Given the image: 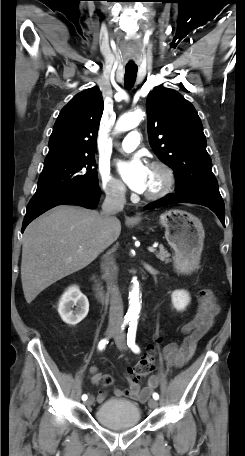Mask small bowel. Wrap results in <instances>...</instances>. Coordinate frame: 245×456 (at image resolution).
Listing matches in <instances>:
<instances>
[{
  "label": "small bowel",
  "instance_id": "1",
  "mask_svg": "<svg viewBox=\"0 0 245 456\" xmlns=\"http://www.w3.org/2000/svg\"><path fill=\"white\" fill-rule=\"evenodd\" d=\"M219 312L220 306L212 291L201 290L198 294L195 318L181 328L184 335L183 341L180 344L169 343L163 349L166 366L181 367L192 358L199 340L212 328ZM91 373L92 381L96 385L108 387L114 383L112 376L99 373L95 367L91 368ZM127 381L129 384L127 389L114 388L112 393L117 397H129L138 402H145L158 385L157 376H151L144 387L129 375H127ZM107 396V391L100 392L96 400L103 402Z\"/></svg>",
  "mask_w": 245,
  "mask_h": 456
}]
</instances>
